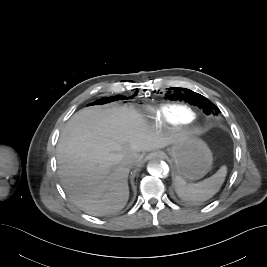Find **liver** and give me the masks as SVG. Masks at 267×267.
Returning <instances> with one entry per match:
<instances>
[{
    "label": "liver",
    "instance_id": "1",
    "mask_svg": "<svg viewBox=\"0 0 267 267\" xmlns=\"http://www.w3.org/2000/svg\"><path fill=\"white\" fill-rule=\"evenodd\" d=\"M178 135H163L133 108L87 107L66 123L57 145L58 174L69 198L96 216L122 210L129 199L124 163L140 152L173 144Z\"/></svg>",
    "mask_w": 267,
    "mask_h": 267
}]
</instances>
